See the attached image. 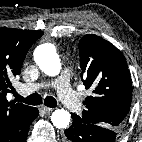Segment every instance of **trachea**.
<instances>
[{
	"instance_id": "1",
	"label": "trachea",
	"mask_w": 142,
	"mask_h": 142,
	"mask_svg": "<svg viewBox=\"0 0 142 142\" xmlns=\"http://www.w3.org/2000/svg\"><path fill=\"white\" fill-rule=\"evenodd\" d=\"M14 96L16 101L24 102L29 105H40L42 103V97L37 93L31 94L28 97L24 98L17 92H14ZM44 104L50 108H54L57 106V101L52 96H47L44 99Z\"/></svg>"
}]
</instances>
